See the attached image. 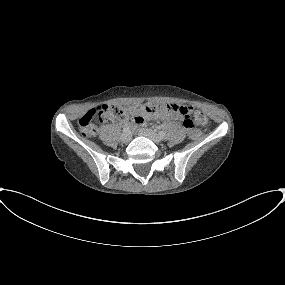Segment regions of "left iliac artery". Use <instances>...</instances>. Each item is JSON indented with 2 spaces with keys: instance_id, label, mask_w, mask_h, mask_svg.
I'll list each match as a JSON object with an SVG mask.
<instances>
[{
  "instance_id": "44dca946",
  "label": "left iliac artery",
  "mask_w": 285,
  "mask_h": 285,
  "mask_svg": "<svg viewBox=\"0 0 285 285\" xmlns=\"http://www.w3.org/2000/svg\"><path fill=\"white\" fill-rule=\"evenodd\" d=\"M161 137H164L165 133L163 131L158 132Z\"/></svg>"
}]
</instances>
